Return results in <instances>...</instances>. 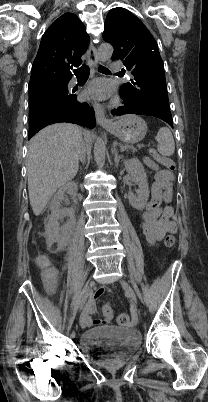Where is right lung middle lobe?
<instances>
[{
    "label": "right lung middle lobe",
    "mask_w": 208,
    "mask_h": 402,
    "mask_svg": "<svg viewBox=\"0 0 208 402\" xmlns=\"http://www.w3.org/2000/svg\"><path fill=\"white\" fill-rule=\"evenodd\" d=\"M69 80H50L29 90V124L40 114L74 105L76 95L68 92Z\"/></svg>",
    "instance_id": "right-lung-middle-lobe-1"
}]
</instances>
